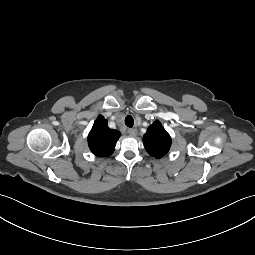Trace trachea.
<instances>
[{
  "label": "trachea",
  "instance_id": "obj_1",
  "mask_svg": "<svg viewBox=\"0 0 255 255\" xmlns=\"http://www.w3.org/2000/svg\"><path fill=\"white\" fill-rule=\"evenodd\" d=\"M125 124H126L127 127L132 128L133 125H134V119H133V117L130 116V115L126 116V118H125Z\"/></svg>",
  "mask_w": 255,
  "mask_h": 255
}]
</instances>
